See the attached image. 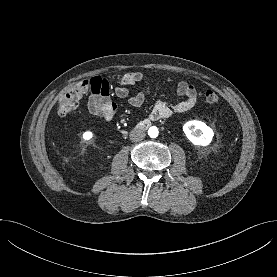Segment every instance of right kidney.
I'll return each mask as SVG.
<instances>
[{
    "mask_svg": "<svg viewBox=\"0 0 277 277\" xmlns=\"http://www.w3.org/2000/svg\"><path fill=\"white\" fill-rule=\"evenodd\" d=\"M93 137V133L91 131H86L83 133L82 138L84 141H88Z\"/></svg>",
    "mask_w": 277,
    "mask_h": 277,
    "instance_id": "right-kidney-1",
    "label": "right kidney"
}]
</instances>
